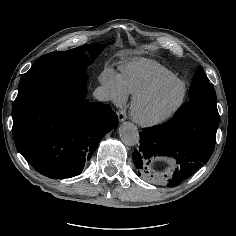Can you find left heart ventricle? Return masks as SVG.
<instances>
[{
    "mask_svg": "<svg viewBox=\"0 0 236 236\" xmlns=\"http://www.w3.org/2000/svg\"><path fill=\"white\" fill-rule=\"evenodd\" d=\"M181 91V85L176 82L159 88L141 103V113L149 118L163 114L177 101Z\"/></svg>",
    "mask_w": 236,
    "mask_h": 236,
    "instance_id": "1",
    "label": "left heart ventricle"
}]
</instances>
